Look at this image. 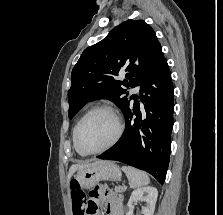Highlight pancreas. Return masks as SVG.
Masks as SVG:
<instances>
[{
  "instance_id": "1",
  "label": "pancreas",
  "mask_w": 223,
  "mask_h": 215,
  "mask_svg": "<svg viewBox=\"0 0 223 215\" xmlns=\"http://www.w3.org/2000/svg\"><path fill=\"white\" fill-rule=\"evenodd\" d=\"M114 189L115 191H125L123 188H121V185H115Z\"/></svg>"
}]
</instances>
